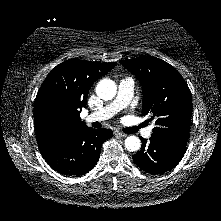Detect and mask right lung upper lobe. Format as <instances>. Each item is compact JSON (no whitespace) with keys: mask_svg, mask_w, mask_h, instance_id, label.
I'll return each mask as SVG.
<instances>
[{"mask_svg":"<svg viewBox=\"0 0 221 221\" xmlns=\"http://www.w3.org/2000/svg\"><path fill=\"white\" fill-rule=\"evenodd\" d=\"M116 65L71 59L57 65L42 83L34 104L39 150L46 157L87 128L80 120L89 89Z\"/></svg>","mask_w":221,"mask_h":221,"instance_id":"obj_1","label":"right lung upper lobe"}]
</instances>
